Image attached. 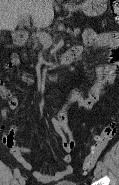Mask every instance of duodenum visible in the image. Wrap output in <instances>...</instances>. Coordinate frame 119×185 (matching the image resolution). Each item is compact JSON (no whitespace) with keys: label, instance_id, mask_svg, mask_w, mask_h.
I'll return each mask as SVG.
<instances>
[{"label":"duodenum","instance_id":"obj_1","mask_svg":"<svg viewBox=\"0 0 119 185\" xmlns=\"http://www.w3.org/2000/svg\"><path fill=\"white\" fill-rule=\"evenodd\" d=\"M28 34L26 31H16L14 33V40L17 45H24L27 41ZM81 49L75 47L66 52L56 63L55 66H66L77 61L81 55Z\"/></svg>","mask_w":119,"mask_h":185}]
</instances>
